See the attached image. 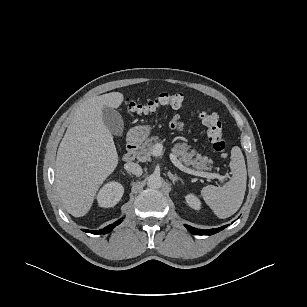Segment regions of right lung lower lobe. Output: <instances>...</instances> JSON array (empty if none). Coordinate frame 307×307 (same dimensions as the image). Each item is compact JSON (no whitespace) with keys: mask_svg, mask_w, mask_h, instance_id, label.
<instances>
[{"mask_svg":"<svg viewBox=\"0 0 307 307\" xmlns=\"http://www.w3.org/2000/svg\"><path fill=\"white\" fill-rule=\"evenodd\" d=\"M121 223V219L117 220L116 222H114L113 224L108 225L107 227L100 229L99 231H90V230H84L85 232H90L92 234H106L109 233L110 231H112V229L119 225Z\"/></svg>","mask_w":307,"mask_h":307,"instance_id":"98d812e1","label":"right lung lower lobe"}]
</instances>
